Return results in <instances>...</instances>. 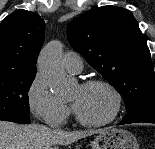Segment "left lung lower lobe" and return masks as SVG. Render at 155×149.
<instances>
[{"label":"left lung lower lobe","mask_w":155,"mask_h":149,"mask_svg":"<svg viewBox=\"0 0 155 149\" xmlns=\"http://www.w3.org/2000/svg\"><path fill=\"white\" fill-rule=\"evenodd\" d=\"M155 123V100L138 111L128 113L118 125L130 123Z\"/></svg>","instance_id":"left-lung-lower-lobe-1"}]
</instances>
